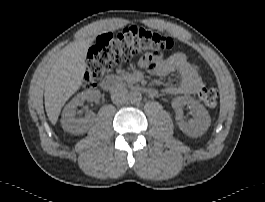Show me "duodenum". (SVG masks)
<instances>
[{
	"label": "duodenum",
	"mask_w": 265,
	"mask_h": 202,
	"mask_svg": "<svg viewBox=\"0 0 265 202\" xmlns=\"http://www.w3.org/2000/svg\"><path fill=\"white\" fill-rule=\"evenodd\" d=\"M119 85V80L114 76H106L102 78L100 86L102 89L107 91H114ZM137 90L144 92L147 95H153L154 90L148 86H135Z\"/></svg>",
	"instance_id": "410a0bca"
}]
</instances>
